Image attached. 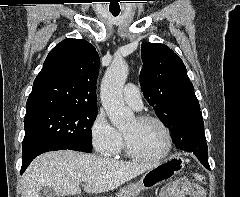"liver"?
<instances>
[{"label":"liver","mask_w":240,"mask_h":197,"mask_svg":"<svg viewBox=\"0 0 240 197\" xmlns=\"http://www.w3.org/2000/svg\"><path fill=\"white\" fill-rule=\"evenodd\" d=\"M157 164L125 162L77 151L46 152L38 156L22 177V197H39L49 187L56 195L97 194L114 190Z\"/></svg>","instance_id":"1"}]
</instances>
